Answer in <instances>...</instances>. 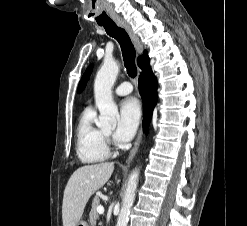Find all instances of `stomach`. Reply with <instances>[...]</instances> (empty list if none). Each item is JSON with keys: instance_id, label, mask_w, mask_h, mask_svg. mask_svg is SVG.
<instances>
[{"instance_id": "1", "label": "stomach", "mask_w": 247, "mask_h": 226, "mask_svg": "<svg viewBox=\"0 0 247 226\" xmlns=\"http://www.w3.org/2000/svg\"><path fill=\"white\" fill-rule=\"evenodd\" d=\"M75 226H88V224L85 221L81 220L77 222Z\"/></svg>"}]
</instances>
